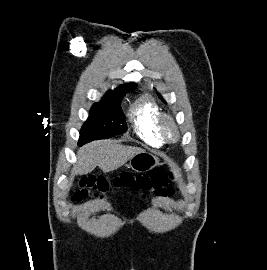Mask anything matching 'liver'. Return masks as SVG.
Instances as JSON below:
<instances>
[{"label": "liver", "mask_w": 267, "mask_h": 270, "mask_svg": "<svg viewBox=\"0 0 267 270\" xmlns=\"http://www.w3.org/2000/svg\"><path fill=\"white\" fill-rule=\"evenodd\" d=\"M143 151L138 147L120 145L113 140L95 141L78 150L77 162L72 173L88 174L96 166L104 173H108L123 166L133 156Z\"/></svg>", "instance_id": "liver-1"}]
</instances>
